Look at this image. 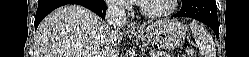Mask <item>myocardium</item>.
<instances>
[{
	"label": "myocardium",
	"mask_w": 249,
	"mask_h": 57,
	"mask_svg": "<svg viewBox=\"0 0 249 57\" xmlns=\"http://www.w3.org/2000/svg\"><path fill=\"white\" fill-rule=\"evenodd\" d=\"M177 3H178V0H170V6L166 10L159 11V12H152V11L147 10L145 6L143 5V3L141 2L138 4V9L140 13L144 15L145 17L152 18V19H160V18H164L172 14L177 6Z\"/></svg>",
	"instance_id": "myocardium-1"
}]
</instances>
